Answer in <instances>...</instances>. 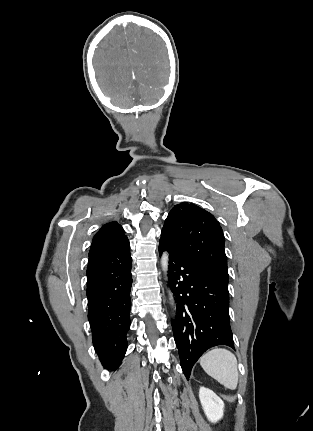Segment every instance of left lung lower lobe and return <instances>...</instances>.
Segmentation results:
<instances>
[{
    "label": "left lung lower lobe",
    "mask_w": 313,
    "mask_h": 431,
    "mask_svg": "<svg viewBox=\"0 0 313 431\" xmlns=\"http://www.w3.org/2000/svg\"><path fill=\"white\" fill-rule=\"evenodd\" d=\"M169 253V285L177 303L172 321L181 368L188 379L199 357L209 348L234 349L230 327L228 282L184 259L163 240L159 254Z\"/></svg>",
    "instance_id": "left-lung-lower-lobe-1"
}]
</instances>
